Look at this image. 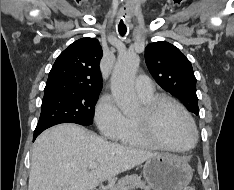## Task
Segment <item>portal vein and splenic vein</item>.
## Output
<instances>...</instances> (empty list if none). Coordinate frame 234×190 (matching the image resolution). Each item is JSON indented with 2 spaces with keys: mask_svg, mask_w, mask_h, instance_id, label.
Wrapping results in <instances>:
<instances>
[{
  "mask_svg": "<svg viewBox=\"0 0 234 190\" xmlns=\"http://www.w3.org/2000/svg\"><path fill=\"white\" fill-rule=\"evenodd\" d=\"M96 167H97V164H96V163H91V164L89 165V169H91V170L95 169Z\"/></svg>",
  "mask_w": 234,
  "mask_h": 190,
  "instance_id": "1",
  "label": "portal vein and splenic vein"
}]
</instances>
